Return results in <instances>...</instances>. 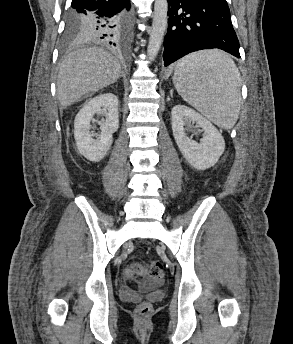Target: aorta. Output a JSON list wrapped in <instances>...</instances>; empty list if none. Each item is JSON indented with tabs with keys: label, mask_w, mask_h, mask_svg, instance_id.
I'll return each mask as SVG.
<instances>
[{
	"label": "aorta",
	"mask_w": 293,
	"mask_h": 344,
	"mask_svg": "<svg viewBox=\"0 0 293 344\" xmlns=\"http://www.w3.org/2000/svg\"><path fill=\"white\" fill-rule=\"evenodd\" d=\"M168 1L155 0L152 28L150 31L147 46V56L150 60L154 59L161 47L168 25Z\"/></svg>",
	"instance_id": "aorta-1"
}]
</instances>
